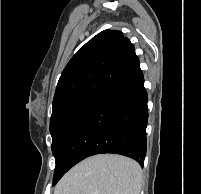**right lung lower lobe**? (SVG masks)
<instances>
[{"instance_id":"98d812e1","label":"right lung lower lobe","mask_w":201,"mask_h":194,"mask_svg":"<svg viewBox=\"0 0 201 194\" xmlns=\"http://www.w3.org/2000/svg\"><path fill=\"white\" fill-rule=\"evenodd\" d=\"M147 101L140 67L99 94L65 128L54 154L53 185L72 166L95 154L124 155L143 167Z\"/></svg>"}]
</instances>
